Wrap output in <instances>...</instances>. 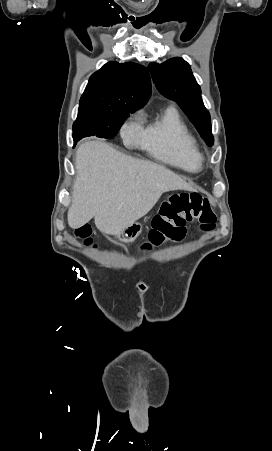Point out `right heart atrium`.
I'll use <instances>...</instances> for the list:
<instances>
[{
	"label": "right heart atrium",
	"instance_id": "d8ad5b80",
	"mask_svg": "<svg viewBox=\"0 0 272 451\" xmlns=\"http://www.w3.org/2000/svg\"><path fill=\"white\" fill-rule=\"evenodd\" d=\"M140 134V126L137 121H128L122 128V136L126 142H131Z\"/></svg>",
	"mask_w": 272,
	"mask_h": 451
}]
</instances>
